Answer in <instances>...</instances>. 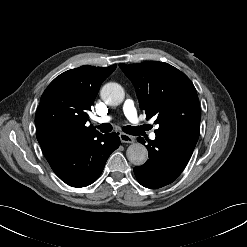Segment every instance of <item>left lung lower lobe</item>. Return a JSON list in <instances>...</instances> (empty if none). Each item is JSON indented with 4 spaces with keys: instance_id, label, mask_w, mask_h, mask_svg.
Segmentation results:
<instances>
[{
    "instance_id": "1",
    "label": "left lung lower lobe",
    "mask_w": 247,
    "mask_h": 247,
    "mask_svg": "<svg viewBox=\"0 0 247 247\" xmlns=\"http://www.w3.org/2000/svg\"><path fill=\"white\" fill-rule=\"evenodd\" d=\"M137 140L146 143L141 137ZM196 143L183 136L156 135L155 140L148 141L146 145L149 159L142 166L134 168L138 182L150 189L172 183L184 170Z\"/></svg>"
}]
</instances>
